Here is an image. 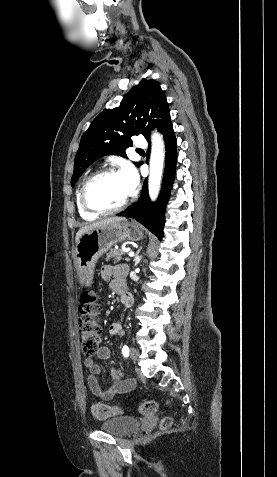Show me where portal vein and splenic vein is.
<instances>
[{"instance_id": "18ae733b", "label": "portal vein and splenic vein", "mask_w": 277, "mask_h": 477, "mask_svg": "<svg viewBox=\"0 0 277 477\" xmlns=\"http://www.w3.org/2000/svg\"><path fill=\"white\" fill-rule=\"evenodd\" d=\"M127 253H128V256L129 257H133L134 256V252L130 251V250H127Z\"/></svg>"}]
</instances>
